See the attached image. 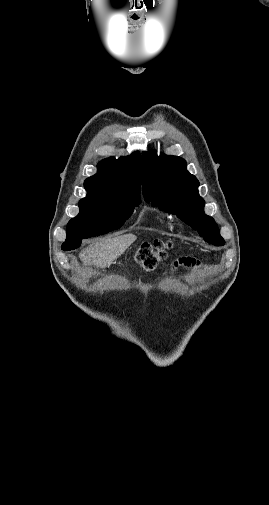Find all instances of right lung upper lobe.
<instances>
[{
    "instance_id": "obj_1",
    "label": "right lung upper lobe",
    "mask_w": 269,
    "mask_h": 505,
    "mask_svg": "<svg viewBox=\"0 0 269 505\" xmlns=\"http://www.w3.org/2000/svg\"><path fill=\"white\" fill-rule=\"evenodd\" d=\"M140 153L104 159L98 163L97 174L85 180V198L140 199Z\"/></svg>"
}]
</instances>
